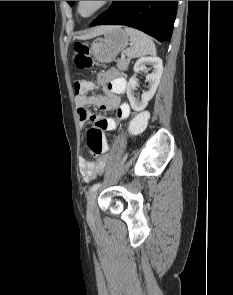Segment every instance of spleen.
Segmentation results:
<instances>
[{"mask_svg": "<svg viewBox=\"0 0 233 295\" xmlns=\"http://www.w3.org/2000/svg\"><path fill=\"white\" fill-rule=\"evenodd\" d=\"M125 32L130 36L132 47L126 50V55L130 58L144 55H156V47L150 36L131 27H125Z\"/></svg>", "mask_w": 233, "mask_h": 295, "instance_id": "1", "label": "spleen"}]
</instances>
